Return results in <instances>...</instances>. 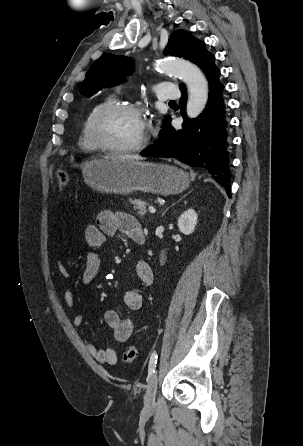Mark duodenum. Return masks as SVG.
Wrapping results in <instances>:
<instances>
[{"instance_id":"1","label":"duodenum","mask_w":303,"mask_h":446,"mask_svg":"<svg viewBox=\"0 0 303 446\" xmlns=\"http://www.w3.org/2000/svg\"><path fill=\"white\" fill-rule=\"evenodd\" d=\"M145 242V237H141L140 239H139V243H144Z\"/></svg>"}]
</instances>
